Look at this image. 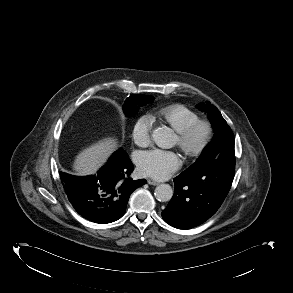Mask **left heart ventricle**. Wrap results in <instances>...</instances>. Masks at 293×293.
I'll list each match as a JSON object with an SVG mask.
<instances>
[{
  "label": "left heart ventricle",
  "instance_id": "1",
  "mask_svg": "<svg viewBox=\"0 0 293 293\" xmlns=\"http://www.w3.org/2000/svg\"><path fill=\"white\" fill-rule=\"evenodd\" d=\"M202 136V132H199L196 137H195V140H199ZM176 143H178V139H176Z\"/></svg>",
  "mask_w": 293,
  "mask_h": 293
}]
</instances>
